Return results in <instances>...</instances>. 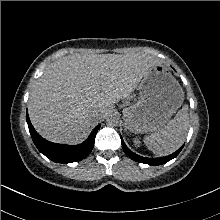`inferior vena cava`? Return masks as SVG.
<instances>
[{
  "label": "inferior vena cava",
  "mask_w": 220,
  "mask_h": 220,
  "mask_svg": "<svg viewBox=\"0 0 220 220\" xmlns=\"http://www.w3.org/2000/svg\"><path fill=\"white\" fill-rule=\"evenodd\" d=\"M90 116L92 118H98L100 116V113H99V111L94 110V111L91 112Z\"/></svg>",
  "instance_id": "1"
}]
</instances>
